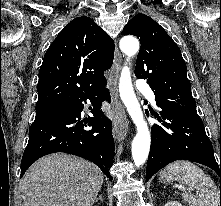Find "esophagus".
<instances>
[{"mask_svg":"<svg viewBox=\"0 0 221 206\" xmlns=\"http://www.w3.org/2000/svg\"><path fill=\"white\" fill-rule=\"evenodd\" d=\"M121 63L122 55L119 52L117 45H115L114 62L111 68L109 85L113 103V133L119 142L126 137L129 130V122L118 96V81Z\"/></svg>","mask_w":221,"mask_h":206,"instance_id":"34e87169","label":"esophagus"}]
</instances>
